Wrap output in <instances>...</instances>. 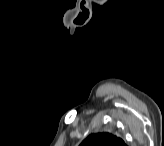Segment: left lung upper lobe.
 <instances>
[{"label":"left lung upper lobe","mask_w":164,"mask_h":146,"mask_svg":"<svg viewBox=\"0 0 164 146\" xmlns=\"http://www.w3.org/2000/svg\"><path fill=\"white\" fill-rule=\"evenodd\" d=\"M80 146H126L123 139L108 132L90 134Z\"/></svg>","instance_id":"5c2ea615"}]
</instances>
